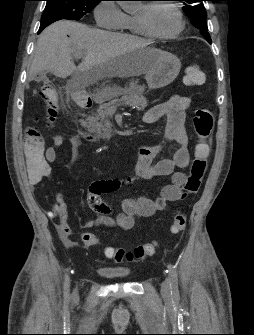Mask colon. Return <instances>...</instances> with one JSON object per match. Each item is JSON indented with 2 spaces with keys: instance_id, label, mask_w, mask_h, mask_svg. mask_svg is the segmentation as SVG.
I'll return each mask as SVG.
<instances>
[{
  "instance_id": "1",
  "label": "colon",
  "mask_w": 254,
  "mask_h": 335,
  "mask_svg": "<svg viewBox=\"0 0 254 335\" xmlns=\"http://www.w3.org/2000/svg\"><path fill=\"white\" fill-rule=\"evenodd\" d=\"M203 81V72L197 65H188L185 70L183 82L187 86H195ZM41 94L47 102V112L44 121L52 123L56 118L58 108V96L56 89L51 85H44L41 88ZM193 124L196 135L199 139L195 149L190 173L183 186L182 198L197 193L201 187L204 178L210 149L205 142L213 131L214 117L207 108H198L193 115ZM25 154L23 155V165L25 167V178H52V169L46 159H43V138L37 127H30L25 137ZM186 227V216L178 211L172 220L170 230L173 234L184 231ZM84 245L93 248L98 245V238L92 233H84L82 236ZM157 249L155 241L140 245L133 250L108 247L104 254L108 259L116 263L138 262L147 257L153 256Z\"/></svg>"
}]
</instances>
